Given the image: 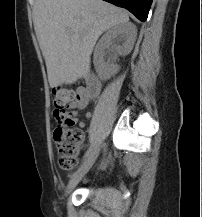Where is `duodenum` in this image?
<instances>
[{
  "label": "duodenum",
  "instance_id": "duodenum-1",
  "mask_svg": "<svg viewBox=\"0 0 202 217\" xmlns=\"http://www.w3.org/2000/svg\"><path fill=\"white\" fill-rule=\"evenodd\" d=\"M86 90L87 93L92 96L99 94L101 90V84L95 76L93 75L88 76Z\"/></svg>",
  "mask_w": 202,
  "mask_h": 217
}]
</instances>
